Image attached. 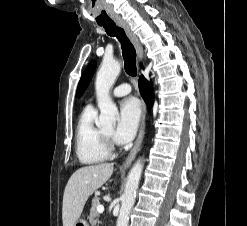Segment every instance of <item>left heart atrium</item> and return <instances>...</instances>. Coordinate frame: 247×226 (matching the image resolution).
<instances>
[{"label": "left heart atrium", "mask_w": 247, "mask_h": 226, "mask_svg": "<svg viewBox=\"0 0 247 226\" xmlns=\"http://www.w3.org/2000/svg\"><path fill=\"white\" fill-rule=\"evenodd\" d=\"M141 116L139 101L134 97L124 99L120 104L119 121L114 139L119 143H127L135 136Z\"/></svg>", "instance_id": "obj_1"}]
</instances>
